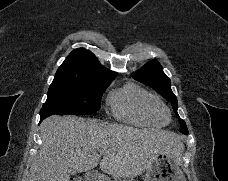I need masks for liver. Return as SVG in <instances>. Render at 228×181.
Here are the masks:
<instances>
[{"label":"liver","mask_w":228,"mask_h":181,"mask_svg":"<svg viewBox=\"0 0 228 181\" xmlns=\"http://www.w3.org/2000/svg\"><path fill=\"white\" fill-rule=\"evenodd\" d=\"M40 139L29 181H70L72 169L93 171L103 149L100 171L111 177H138L151 169L159 153L178 163L184 151L183 139L175 133L58 115L42 121Z\"/></svg>","instance_id":"6515ba94"}]
</instances>
